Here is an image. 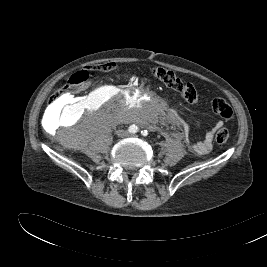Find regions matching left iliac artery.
<instances>
[{"label":"left iliac artery","instance_id":"1","mask_svg":"<svg viewBox=\"0 0 267 267\" xmlns=\"http://www.w3.org/2000/svg\"><path fill=\"white\" fill-rule=\"evenodd\" d=\"M141 134H142V136L146 137L149 135V132L147 130H142Z\"/></svg>","mask_w":267,"mask_h":267}]
</instances>
